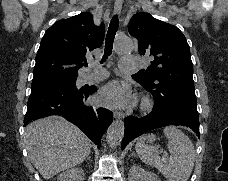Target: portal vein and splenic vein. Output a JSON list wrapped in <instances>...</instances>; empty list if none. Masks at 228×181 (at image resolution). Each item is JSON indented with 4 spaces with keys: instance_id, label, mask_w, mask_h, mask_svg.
Returning a JSON list of instances; mask_svg holds the SVG:
<instances>
[{
    "instance_id": "1",
    "label": "portal vein and splenic vein",
    "mask_w": 228,
    "mask_h": 181,
    "mask_svg": "<svg viewBox=\"0 0 228 181\" xmlns=\"http://www.w3.org/2000/svg\"><path fill=\"white\" fill-rule=\"evenodd\" d=\"M163 157H168L167 153H164Z\"/></svg>"
}]
</instances>
